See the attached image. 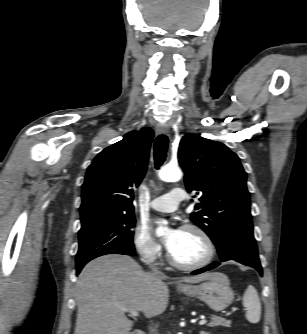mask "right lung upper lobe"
Here are the masks:
<instances>
[{
	"mask_svg": "<svg viewBox=\"0 0 307 334\" xmlns=\"http://www.w3.org/2000/svg\"><path fill=\"white\" fill-rule=\"evenodd\" d=\"M153 136L150 128L131 131L95 157L82 185L81 217L133 214L134 189L145 175Z\"/></svg>",
	"mask_w": 307,
	"mask_h": 334,
	"instance_id": "cb5924a9",
	"label": "right lung upper lobe"
}]
</instances>
